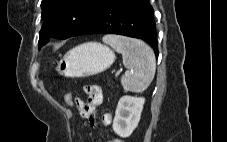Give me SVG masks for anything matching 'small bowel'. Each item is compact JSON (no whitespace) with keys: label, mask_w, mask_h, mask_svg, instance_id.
Returning a JSON list of instances; mask_svg holds the SVG:
<instances>
[{"label":"small bowel","mask_w":227,"mask_h":142,"mask_svg":"<svg viewBox=\"0 0 227 142\" xmlns=\"http://www.w3.org/2000/svg\"><path fill=\"white\" fill-rule=\"evenodd\" d=\"M84 92L89 96L87 103H84L81 99L75 98V103L78 109L80 116L84 119H87L91 126L97 127V107L102 102V91L98 86H85ZM112 116L108 112H103L100 117V123L106 127L111 124ZM109 140L107 142H125L122 139L116 138L114 136L108 135Z\"/></svg>","instance_id":"obj_1"}]
</instances>
